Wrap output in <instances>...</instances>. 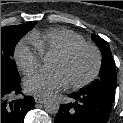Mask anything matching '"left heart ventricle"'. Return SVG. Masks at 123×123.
<instances>
[{
	"label": "left heart ventricle",
	"instance_id": "b2bd125f",
	"mask_svg": "<svg viewBox=\"0 0 123 123\" xmlns=\"http://www.w3.org/2000/svg\"><path fill=\"white\" fill-rule=\"evenodd\" d=\"M95 66V56L90 50H81L68 59L54 56L51 68L62 71L68 83L87 78Z\"/></svg>",
	"mask_w": 123,
	"mask_h": 123
}]
</instances>
